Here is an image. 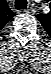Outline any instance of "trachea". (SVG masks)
<instances>
[{
	"label": "trachea",
	"mask_w": 51,
	"mask_h": 74,
	"mask_svg": "<svg viewBox=\"0 0 51 74\" xmlns=\"http://www.w3.org/2000/svg\"><path fill=\"white\" fill-rule=\"evenodd\" d=\"M15 7L17 10H22L27 8V1L26 0H16Z\"/></svg>",
	"instance_id": "trachea-1"
}]
</instances>
